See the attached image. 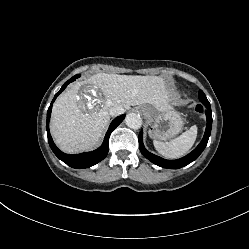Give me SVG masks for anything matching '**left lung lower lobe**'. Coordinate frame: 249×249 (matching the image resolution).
<instances>
[{"mask_svg":"<svg viewBox=\"0 0 249 249\" xmlns=\"http://www.w3.org/2000/svg\"><path fill=\"white\" fill-rule=\"evenodd\" d=\"M200 101L206 107L205 113H206V117H207V126H206L205 134H204L202 141L199 143V145L192 152H190L185 157L177 159V160L163 159L159 156H156V155L150 153L149 151H147L145 149L144 144H143V131H141L139 133V136H138L139 149H140L141 153L148 160H150L152 163H154L160 167L168 168V169H179V168H182V167L188 165L189 163L193 162L194 160H196L199 157V155L203 152V150L205 149V147L207 145L209 136L211 134V125H212L211 107H210V103L207 100L205 94L200 97Z\"/></svg>","mask_w":249,"mask_h":249,"instance_id":"obj_1","label":"left lung lower lobe"}]
</instances>
